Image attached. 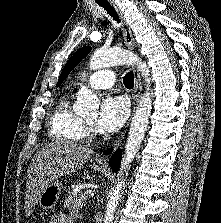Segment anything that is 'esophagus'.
I'll use <instances>...</instances> for the list:
<instances>
[{"mask_svg": "<svg viewBox=\"0 0 221 223\" xmlns=\"http://www.w3.org/2000/svg\"><path fill=\"white\" fill-rule=\"evenodd\" d=\"M109 1H110L111 5L113 6V8L115 9V11L117 12V14L120 17L122 27H123V31H124L125 46L128 49L133 50L134 46H135V40H134V37H133V33L130 29V26L128 25L125 17L123 16V13L120 11L116 2H114L113 0H109ZM141 92H142V83H141L140 74H139L137 69H134V90H133V93H132V113L135 111V109L137 107V104H138V102L140 100V97H141ZM129 123H130V119H129L128 123L126 124V127H125L124 131L113 142V144H112L113 150H116L120 146V144L122 143V141L125 137L126 129L129 126ZM96 161L100 164H107L108 163V157L107 156H100V157L97 158Z\"/></svg>", "mask_w": 221, "mask_h": 223, "instance_id": "obj_1", "label": "esophagus"}]
</instances>
